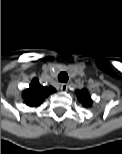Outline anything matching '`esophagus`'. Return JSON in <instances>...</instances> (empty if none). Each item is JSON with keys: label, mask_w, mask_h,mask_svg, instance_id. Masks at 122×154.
Masks as SVG:
<instances>
[{"label": "esophagus", "mask_w": 122, "mask_h": 154, "mask_svg": "<svg viewBox=\"0 0 122 154\" xmlns=\"http://www.w3.org/2000/svg\"><path fill=\"white\" fill-rule=\"evenodd\" d=\"M60 89L63 92L67 91L68 90V84H66V83L61 84Z\"/></svg>", "instance_id": "1"}]
</instances>
